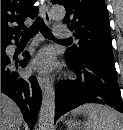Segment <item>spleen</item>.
I'll list each match as a JSON object with an SVG mask.
<instances>
[{
  "label": "spleen",
  "mask_w": 123,
  "mask_h": 130,
  "mask_svg": "<svg viewBox=\"0 0 123 130\" xmlns=\"http://www.w3.org/2000/svg\"><path fill=\"white\" fill-rule=\"evenodd\" d=\"M72 114H84L87 116L85 130H123L120 115L107 106L84 104L74 109Z\"/></svg>",
  "instance_id": "spleen-1"
}]
</instances>
